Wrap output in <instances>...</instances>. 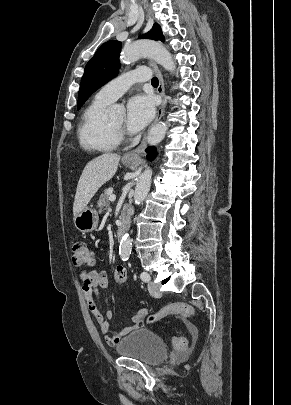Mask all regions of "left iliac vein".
<instances>
[{"label":"left iliac vein","mask_w":291,"mask_h":405,"mask_svg":"<svg viewBox=\"0 0 291 405\" xmlns=\"http://www.w3.org/2000/svg\"><path fill=\"white\" fill-rule=\"evenodd\" d=\"M148 290H149V293L154 297L161 296V292H160L158 285L156 283H154L153 281L148 282Z\"/></svg>","instance_id":"4c4485c4"}]
</instances>
